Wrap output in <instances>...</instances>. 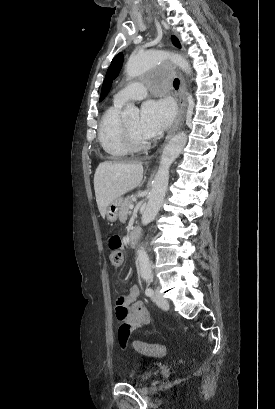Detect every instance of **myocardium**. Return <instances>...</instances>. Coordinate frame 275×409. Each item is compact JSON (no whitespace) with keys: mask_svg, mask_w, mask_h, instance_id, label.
<instances>
[{"mask_svg":"<svg viewBox=\"0 0 275 409\" xmlns=\"http://www.w3.org/2000/svg\"><path fill=\"white\" fill-rule=\"evenodd\" d=\"M122 130H123V137H124L125 144L130 151L144 152L148 150L149 147L151 146L152 144L151 141L144 142V143L137 141L135 137L133 136L132 132L130 131L129 127L127 126V124L124 122L122 125Z\"/></svg>","mask_w":275,"mask_h":409,"instance_id":"1","label":"myocardium"}]
</instances>
